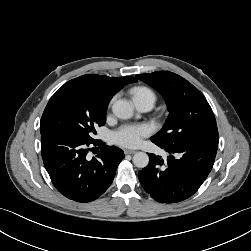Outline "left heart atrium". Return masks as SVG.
Instances as JSON below:
<instances>
[{"label":"left heart atrium","instance_id":"obj_1","mask_svg":"<svg viewBox=\"0 0 251 251\" xmlns=\"http://www.w3.org/2000/svg\"><path fill=\"white\" fill-rule=\"evenodd\" d=\"M150 134V128L145 124L125 125L114 133V140L124 147H136Z\"/></svg>","mask_w":251,"mask_h":251}]
</instances>
